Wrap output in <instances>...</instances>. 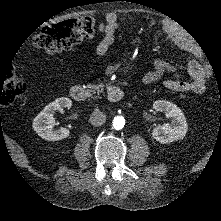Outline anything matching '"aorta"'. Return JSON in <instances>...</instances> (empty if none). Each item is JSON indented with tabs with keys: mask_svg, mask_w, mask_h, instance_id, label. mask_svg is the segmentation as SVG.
Wrapping results in <instances>:
<instances>
[{
	"mask_svg": "<svg viewBox=\"0 0 221 221\" xmlns=\"http://www.w3.org/2000/svg\"><path fill=\"white\" fill-rule=\"evenodd\" d=\"M125 125V119L123 116H116L112 121V126L115 130H120Z\"/></svg>",
	"mask_w": 221,
	"mask_h": 221,
	"instance_id": "obj_1",
	"label": "aorta"
}]
</instances>
